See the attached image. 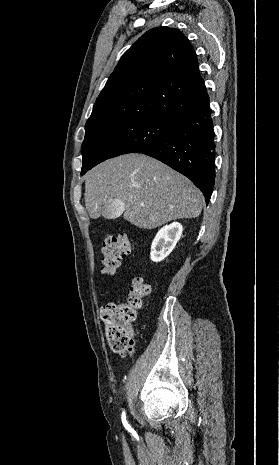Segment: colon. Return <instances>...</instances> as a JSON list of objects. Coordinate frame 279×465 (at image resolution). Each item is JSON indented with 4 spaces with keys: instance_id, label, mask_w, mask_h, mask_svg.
Returning a JSON list of instances; mask_svg holds the SVG:
<instances>
[{
    "instance_id": "5ec220e1",
    "label": "colon",
    "mask_w": 279,
    "mask_h": 465,
    "mask_svg": "<svg viewBox=\"0 0 279 465\" xmlns=\"http://www.w3.org/2000/svg\"><path fill=\"white\" fill-rule=\"evenodd\" d=\"M132 248V242L125 234L106 237L102 246L103 273L115 275L121 261L131 253ZM150 291L149 282L137 275L131 281L129 294L124 302L109 303L101 308L106 339L114 352L126 354L132 350L131 324L136 319L137 310Z\"/></svg>"
}]
</instances>
